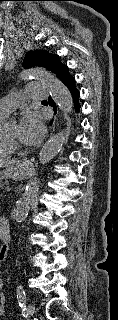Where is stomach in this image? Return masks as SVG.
<instances>
[{
	"label": "stomach",
	"instance_id": "obj_1",
	"mask_svg": "<svg viewBox=\"0 0 118 320\" xmlns=\"http://www.w3.org/2000/svg\"><path fill=\"white\" fill-rule=\"evenodd\" d=\"M32 168V165L29 161H17L14 164L8 165L3 171L0 172V179H14L22 180L26 178Z\"/></svg>",
	"mask_w": 118,
	"mask_h": 320
}]
</instances>
